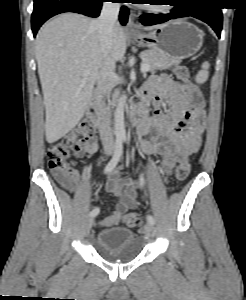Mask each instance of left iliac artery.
<instances>
[{"label": "left iliac artery", "mask_w": 246, "mask_h": 300, "mask_svg": "<svg viewBox=\"0 0 246 300\" xmlns=\"http://www.w3.org/2000/svg\"><path fill=\"white\" fill-rule=\"evenodd\" d=\"M144 184H145L144 177H143V175H140V187H141V189H143ZM147 221L149 223L153 224V225L155 224V219L152 215H147Z\"/></svg>", "instance_id": "obj_1"}]
</instances>
